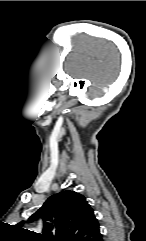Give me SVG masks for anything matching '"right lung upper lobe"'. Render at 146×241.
I'll return each mask as SVG.
<instances>
[{"label":"right lung upper lobe","instance_id":"cb5924a9","mask_svg":"<svg viewBox=\"0 0 146 241\" xmlns=\"http://www.w3.org/2000/svg\"><path fill=\"white\" fill-rule=\"evenodd\" d=\"M43 220L37 241H101L99 223L85 197L75 191H62L48 198L28 222Z\"/></svg>","mask_w":146,"mask_h":241}]
</instances>
